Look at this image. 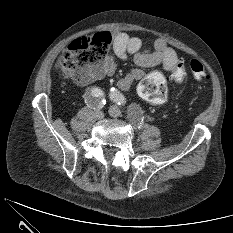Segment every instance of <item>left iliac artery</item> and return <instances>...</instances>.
Segmentation results:
<instances>
[{
  "label": "left iliac artery",
  "mask_w": 233,
  "mask_h": 233,
  "mask_svg": "<svg viewBox=\"0 0 233 233\" xmlns=\"http://www.w3.org/2000/svg\"><path fill=\"white\" fill-rule=\"evenodd\" d=\"M110 98L118 105H123L126 102L124 96L115 88L111 89Z\"/></svg>",
  "instance_id": "44dca946"
}]
</instances>
